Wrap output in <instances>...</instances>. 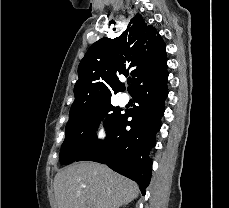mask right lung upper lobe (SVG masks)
Segmentation results:
<instances>
[{"instance_id": "right-lung-upper-lobe-1", "label": "right lung upper lobe", "mask_w": 229, "mask_h": 208, "mask_svg": "<svg viewBox=\"0 0 229 208\" xmlns=\"http://www.w3.org/2000/svg\"><path fill=\"white\" fill-rule=\"evenodd\" d=\"M165 48L157 30L138 14L119 37L102 38L92 44L79 64L69 118L86 114L122 91L119 74L130 73V93L159 75L167 64Z\"/></svg>"}]
</instances>
